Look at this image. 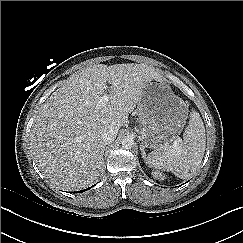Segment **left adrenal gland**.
<instances>
[{"label": "left adrenal gland", "mask_w": 243, "mask_h": 243, "mask_svg": "<svg viewBox=\"0 0 243 243\" xmlns=\"http://www.w3.org/2000/svg\"><path fill=\"white\" fill-rule=\"evenodd\" d=\"M140 150H141L142 157L146 160V153L143 145L140 146Z\"/></svg>", "instance_id": "1"}]
</instances>
